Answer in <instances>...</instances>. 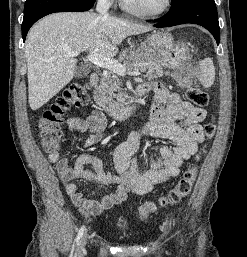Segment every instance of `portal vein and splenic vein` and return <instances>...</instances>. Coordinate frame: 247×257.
<instances>
[{"label": "portal vein and splenic vein", "mask_w": 247, "mask_h": 257, "mask_svg": "<svg viewBox=\"0 0 247 257\" xmlns=\"http://www.w3.org/2000/svg\"><path fill=\"white\" fill-rule=\"evenodd\" d=\"M66 50H67V55H69L71 57H75L80 54V52H78V51H72L69 49H66ZM87 60H89L91 63L97 65L98 67L105 68V69L112 71L120 76H125L126 74L132 75V76L140 75L139 72H126L125 66H123L118 61L108 58V57H105V56H102V55H99L98 53H96L94 51L90 52V54L87 57Z\"/></svg>", "instance_id": "1"}]
</instances>
